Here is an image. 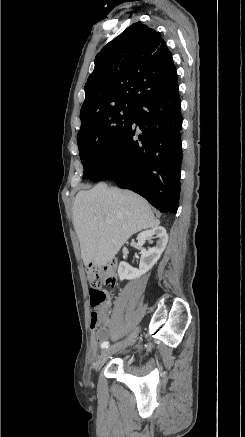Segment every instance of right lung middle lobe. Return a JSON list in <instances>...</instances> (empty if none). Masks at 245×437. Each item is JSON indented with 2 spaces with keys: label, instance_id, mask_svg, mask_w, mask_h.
I'll list each match as a JSON object with an SVG mask.
<instances>
[{
  "label": "right lung middle lobe",
  "instance_id": "1",
  "mask_svg": "<svg viewBox=\"0 0 245 437\" xmlns=\"http://www.w3.org/2000/svg\"><path fill=\"white\" fill-rule=\"evenodd\" d=\"M134 109V105H114L81 124L77 143L84 167L83 179H87L109 157L131 124Z\"/></svg>",
  "mask_w": 245,
  "mask_h": 437
}]
</instances>
